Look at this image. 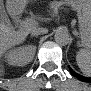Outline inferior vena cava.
Masks as SVG:
<instances>
[{"instance_id": "obj_1", "label": "inferior vena cava", "mask_w": 91, "mask_h": 91, "mask_svg": "<svg viewBox=\"0 0 91 91\" xmlns=\"http://www.w3.org/2000/svg\"><path fill=\"white\" fill-rule=\"evenodd\" d=\"M47 32H48V30L46 28L35 27L31 30L32 35H39V34H43V33H47Z\"/></svg>"}]
</instances>
